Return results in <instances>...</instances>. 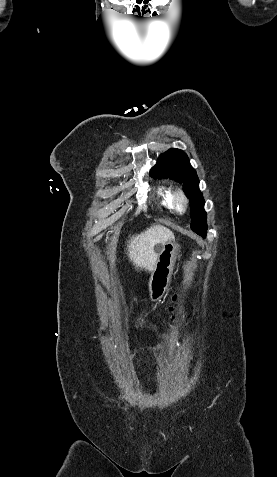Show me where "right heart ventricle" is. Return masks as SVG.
Wrapping results in <instances>:
<instances>
[{
  "instance_id": "1",
  "label": "right heart ventricle",
  "mask_w": 277,
  "mask_h": 477,
  "mask_svg": "<svg viewBox=\"0 0 277 477\" xmlns=\"http://www.w3.org/2000/svg\"><path fill=\"white\" fill-rule=\"evenodd\" d=\"M156 195L158 198L159 204L165 209L172 210V192L166 186H158L156 189Z\"/></svg>"
}]
</instances>
